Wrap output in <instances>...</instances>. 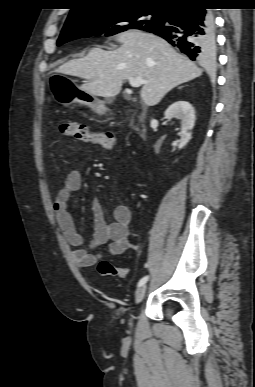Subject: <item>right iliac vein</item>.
Listing matches in <instances>:
<instances>
[{"label":"right iliac vein","instance_id":"obj_1","mask_svg":"<svg viewBox=\"0 0 255 387\" xmlns=\"http://www.w3.org/2000/svg\"><path fill=\"white\" fill-rule=\"evenodd\" d=\"M146 289H147V286L146 285H142L140 286L137 290H136V293H135V302L138 304L140 303L143 299H144V296H145V293H146Z\"/></svg>","mask_w":255,"mask_h":387}]
</instances>
